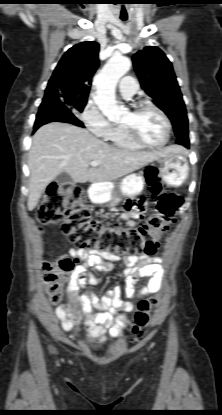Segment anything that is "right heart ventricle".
Masks as SVG:
<instances>
[{
    "label": "right heart ventricle",
    "mask_w": 222,
    "mask_h": 415,
    "mask_svg": "<svg viewBox=\"0 0 222 415\" xmlns=\"http://www.w3.org/2000/svg\"><path fill=\"white\" fill-rule=\"evenodd\" d=\"M114 146L127 149V150H137L141 146L137 145L127 134L123 125H116L108 137V139Z\"/></svg>",
    "instance_id": "right-heart-ventricle-1"
}]
</instances>
